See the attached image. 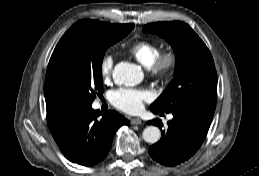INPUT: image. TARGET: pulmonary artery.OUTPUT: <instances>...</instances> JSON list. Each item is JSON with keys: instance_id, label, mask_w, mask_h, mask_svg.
I'll return each instance as SVG.
<instances>
[{"instance_id": "obj_1", "label": "pulmonary artery", "mask_w": 259, "mask_h": 176, "mask_svg": "<svg viewBox=\"0 0 259 176\" xmlns=\"http://www.w3.org/2000/svg\"><path fill=\"white\" fill-rule=\"evenodd\" d=\"M173 118V115L172 114H169L168 115V119H172Z\"/></svg>"}]
</instances>
